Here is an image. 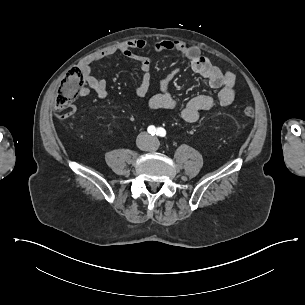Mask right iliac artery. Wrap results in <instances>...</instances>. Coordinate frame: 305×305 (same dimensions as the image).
<instances>
[{"label":"right iliac artery","mask_w":305,"mask_h":305,"mask_svg":"<svg viewBox=\"0 0 305 305\" xmlns=\"http://www.w3.org/2000/svg\"><path fill=\"white\" fill-rule=\"evenodd\" d=\"M148 132L151 134V135H155L156 133V128L155 126L151 125L148 127Z\"/></svg>","instance_id":"1"}]
</instances>
